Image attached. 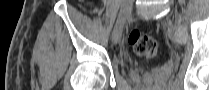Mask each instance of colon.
Returning <instances> with one entry per match:
<instances>
[{"instance_id":"colon-1","label":"colon","mask_w":209,"mask_h":90,"mask_svg":"<svg viewBox=\"0 0 209 90\" xmlns=\"http://www.w3.org/2000/svg\"><path fill=\"white\" fill-rule=\"evenodd\" d=\"M129 44L135 53L143 58H154L158 53V43L149 34L141 33L139 30H132L128 36Z\"/></svg>"}]
</instances>
